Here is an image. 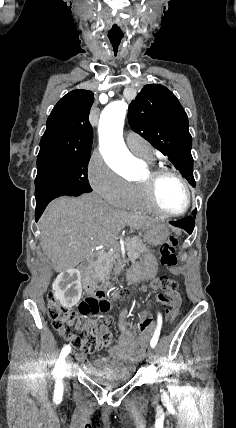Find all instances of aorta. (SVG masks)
Listing matches in <instances>:
<instances>
[{"instance_id":"1","label":"aorta","mask_w":236,"mask_h":428,"mask_svg":"<svg viewBox=\"0 0 236 428\" xmlns=\"http://www.w3.org/2000/svg\"><path fill=\"white\" fill-rule=\"evenodd\" d=\"M127 109L128 105L124 100L112 102L104 108L99 120V145L103 158L111 167L123 172L126 177L133 178L136 174V159L123 139Z\"/></svg>"}]
</instances>
